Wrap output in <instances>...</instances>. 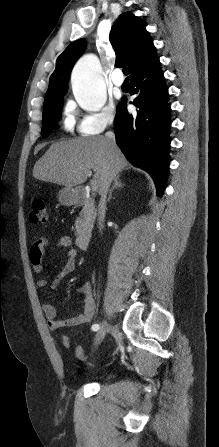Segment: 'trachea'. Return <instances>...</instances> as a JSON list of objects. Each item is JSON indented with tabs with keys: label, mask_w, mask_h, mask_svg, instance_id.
Wrapping results in <instances>:
<instances>
[{
	"label": "trachea",
	"mask_w": 219,
	"mask_h": 447,
	"mask_svg": "<svg viewBox=\"0 0 219 447\" xmlns=\"http://www.w3.org/2000/svg\"><path fill=\"white\" fill-rule=\"evenodd\" d=\"M123 73H124V75H128L129 74V68L128 67H124L123 68Z\"/></svg>",
	"instance_id": "trachea-1"
}]
</instances>
